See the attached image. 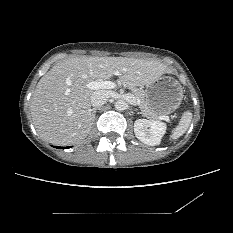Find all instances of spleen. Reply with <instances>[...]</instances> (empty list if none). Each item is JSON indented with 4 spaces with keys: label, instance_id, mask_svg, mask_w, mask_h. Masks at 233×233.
Returning <instances> with one entry per match:
<instances>
[{
    "label": "spleen",
    "instance_id": "spleen-1",
    "mask_svg": "<svg viewBox=\"0 0 233 233\" xmlns=\"http://www.w3.org/2000/svg\"><path fill=\"white\" fill-rule=\"evenodd\" d=\"M191 120H192V113L190 111H185L178 125L173 130L171 139L175 140V139H178L180 136H182L187 131L191 123Z\"/></svg>",
    "mask_w": 233,
    "mask_h": 233
}]
</instances>
